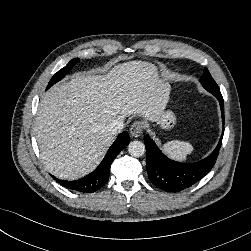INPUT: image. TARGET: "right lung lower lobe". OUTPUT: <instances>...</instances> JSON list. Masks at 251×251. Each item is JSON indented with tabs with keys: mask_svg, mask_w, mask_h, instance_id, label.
Instances as JSON below:
<instances>
[{
	"mask_svg": "<svg viewBox=\"0 0 251 251\" xmlns=\"http://www.w3.org/2000/svg\"><path fill=\"white\" fill-rule=\"evenodd\" d=\"M129 139V134L127 132L121 133L111 145L99 166L93 172L79 180L67 181L56 179L54 176L52 177L62 186L70 190L83 193L95 192L107 183L111 164L119 152L129 144Z\"/></svg>",
	"mask_w": 251,
	"mask_h": 251,
	"instance_id": "1",
	"label": "right lung lower lobe"
}]
</instances>
